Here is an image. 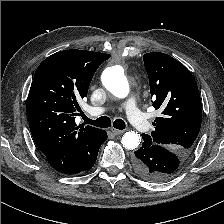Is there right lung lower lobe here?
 Returning a JSON list of instances; mask_svg holds the SVG:
<instances>
[{"mask_svg": "<svg viewBox=\"0 0 224 224\" xmlns=\"http://www.w3.org/2000/svg\"><path fill=\"white\" fill-rule=\"evenodd\" d=\"M106 139H107V134L104 131L103 138H102L101 142L99 143V145H97V147L93 150V152L91 153V155L84 162V164L80 167V169H78L76 172H74L72 174H77V173H80V172H84V171H87V170H89V169H91L93 167V165H94V163L96 162V159H97V155H98L99 148H100L101 144Z\"/></svg>", "mask_w": 224, "mask_h": 224, "instance_id": "98d812e1", "label": "right lung lower lobe"}]
</instances>
